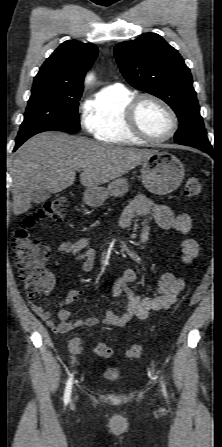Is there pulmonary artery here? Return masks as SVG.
Instances as JSON below:
<instances>
[{"label":"pulmonary artery","mask_w":222,"mask_h":447,"mask_svg":"<svg viewBox=\"0 0 222 447\" xmlns=\"http://www.w3.org/2000/svg\"><path fill=\"white\" fill-rule=\"evenodd\" d=\"M109 88H121V87H123V85L122 84H120V83H115V84H112V85H110V86H108Z\"/></svg>","instance_id":"1"}]
</instances>
